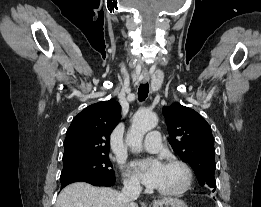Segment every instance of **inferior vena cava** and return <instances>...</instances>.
Returning <instances> with one entry per match:
<instances>
[{
	"label": "inferior vena cava",
	"mask_w": 261,
	"mask_h": 207,
	"mask_svg": "<svg viewBox=\"0 0 261 207\" xmlns=\"http://www.w3.org/2000/svg\"><path fill=\"white\" fill-rule=\"evenodd\" d=\"M141 192V186L137 181H128L124 183L122 192L119 194V199L124 206L136 200Z\"/></svg>",
	"instance_id": "inferior-vena-cava-1"
}]
</instances>
